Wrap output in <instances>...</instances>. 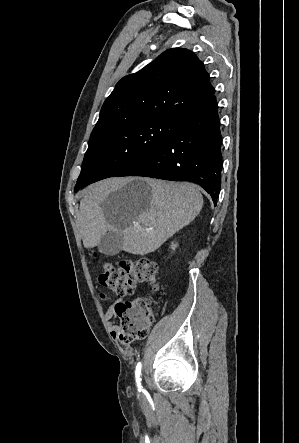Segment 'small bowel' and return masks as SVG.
Instances as JSON below:
<instances>
[{
  "instance_id": "obj_1",
  "label": "small bowel",
  "mask_w": 299,
  "mask_h": 443,
  "mask_svg": "<svg viewBox=\"0 0 299 443\" xmlns=\"http://www.w3.org/2000/svg\"><path fill=\"white\" fill-rule=\"evenodd\" d=\"M100 298L102 300H106L107 296L105 294L101 293L100 294ZM119 302L120 301H117L116 303L110 305L107 308V310L105 312V315H104V317H105V319L107 321V324H108V329L110 331V334L113 337H115L117 335V333H118V326H117L116 321H115L116 320L115 305L117 303H119Z\"/></svg>"
}]
</instances>
